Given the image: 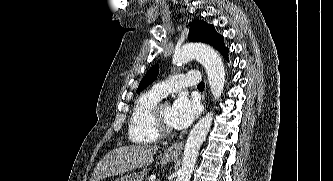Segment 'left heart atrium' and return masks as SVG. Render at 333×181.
<instances>
[{
  "label": "left heart atrium",
  "instance_id": "left-heart-atrium-1",
  "mask_svg": "<svg viewBox=\"0 0 333 181\" xmlns=\"http://www.w3.org/2000/svg\"><path fill=\"white\" fill-rule=\"evenodd\" d=\"M197 115V104L186 96H179L171 106L170 125L175 129H185L195 120Z\"/></svg>",
  "mask_w": 333,
  "mask_h": 181
}]
</instances>
